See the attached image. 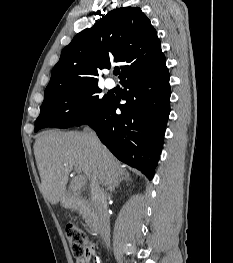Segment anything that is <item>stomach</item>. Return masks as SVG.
<instances>
[{"label":"stomach","mask_w":233,"mask_h":263,"mask_svg":"<svg viewBox=\"0 0 233 263\" xmlns=\"http://www.w3.org/2000/svg\"><path fill=\"white\" fill-rule=\"evenodd\" d=\"M61 204L65 207H68L69 206V200L67 198L63 197L61 200Z\"/></svg>","instance_id":"0dacf381"}]
</instances>
